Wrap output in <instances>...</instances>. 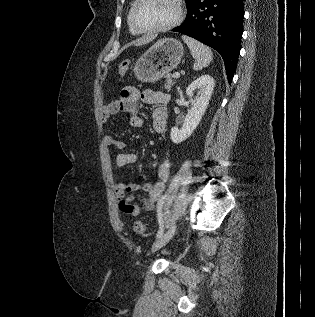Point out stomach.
<instances>
[{"label": "stomach", "mask_w": 315, "mask_h": 317, "mask_svg": "<svg viewBox=\"0 0 315 317\" xmlns=\"http://www.w3.org/2000/svg\"><path fill=\"white\" fill-rule=\"evenodd\" d=\"M184 48L174 38L158 40L134 65L135 77L142 82H155L168 75L180 63Z\"/></svg>", "instance_id": "1"}]
</instances>
